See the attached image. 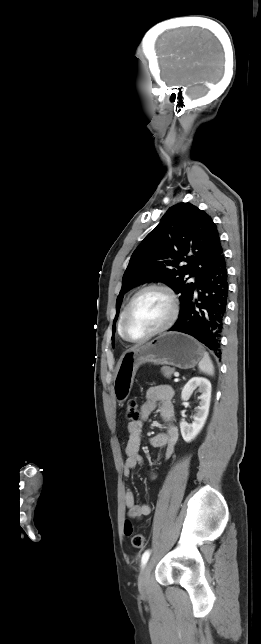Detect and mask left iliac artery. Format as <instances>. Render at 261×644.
<instances>
[{"label": "left iliac artery", "mask_w": 261, "mask_h": 644, "mask_svg": "<svg viewBox=\"0 0 261 644\" xmlns=\"http://www.w3.org/2000/svg\"><path fill=\"white\" fill-rule=\"evenodd\" d=\"M150 557V550H146L141 558V566L144 567Z\"/></svg>", "instance_id": "obj_1"}]
</instances>
